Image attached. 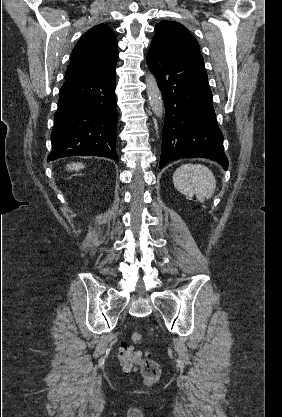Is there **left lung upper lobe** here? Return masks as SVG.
Instances as JSON below:
<instances>
[{"instance_id":"obj_1","label":"left lung upper lobe","mask_w":282,"mask_h":417,"mask_svg":"<svg viewBox=\"0 0 282 417\" xmlns=\"http://www.w3.org/2000/svg\"><path fill=\"white\" fill-rule=\"evenodd\" d=\"M155 32L151 45L157 48L200 54L196 39L178 22L162 21L156 25Z\"/></svg>"}]
</instances>
